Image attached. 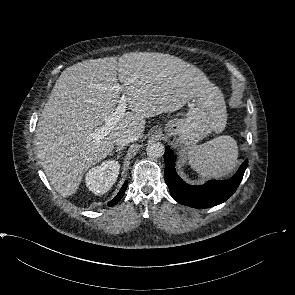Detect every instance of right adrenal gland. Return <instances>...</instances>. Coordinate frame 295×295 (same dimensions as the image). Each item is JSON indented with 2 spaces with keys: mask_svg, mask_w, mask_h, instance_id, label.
I'll return each mask as SVG.
<instances>
[{
  "mask_svg": "<svg viewBox=\"0 0 295 295\" xmlns=\"http://www.w3.org/2000/svg\"><path fill=\"white\" fill-rule=\"evenodd\" d=\"M124 149V147L123 146H120V147H116V149H115V152H117L118 153V155H120L121 154V151ZM114 154V151L113 152H111L109 155L111 156V155H113Z\"/></svg>",
  "mask_w": 295,
  "mask_h": 295,
  "instance_id": "2a0ac1e0",
  "label": "right adrenal gland"
}]
</instances>
